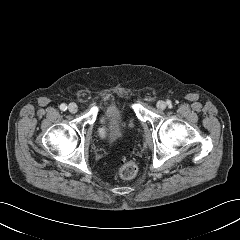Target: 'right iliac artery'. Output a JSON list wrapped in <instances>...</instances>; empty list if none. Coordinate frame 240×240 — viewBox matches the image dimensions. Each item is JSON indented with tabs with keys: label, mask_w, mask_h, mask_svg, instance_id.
I'll use <instances>...</instances> for the list:
<instances>
[{
	"label": "right iliac artery",
	"mask_w": 240,
	"mask_h": 240,
	"mask_svg": "<svg viewBox=\"0 0 240 240\" xmlns=\"http://www.w3.org/2000/svg\"><path fill=\"white\" fill-rule=\"evenodd\" d=\"M60 109L62 110V111H65L66 109H67V106H66V104H61L60 105Z\"/></svg>",
	"instance_id": "right-iliac-artery-1"
}]
</instances>
